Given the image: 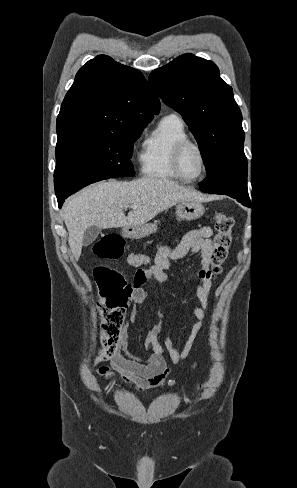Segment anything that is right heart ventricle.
<instances>
[{"label": "right heart ventricle", "mask_w": 297, "mask_h": 488, "mask_svg": "<svg viewBox=\"0 0 297 488\" xmlns=\"http://www.w3.org/2000/svg\"><path fill=\"white\" fill-rule=\"evenodd\" d=\"M187 138L180 117L175 114L163 117L143 142L139 158L141 172L157 180L178 179L171 166V156L175 145Z\"/></svg>", "instance_id": "e07e8e85"}]
</instances>
